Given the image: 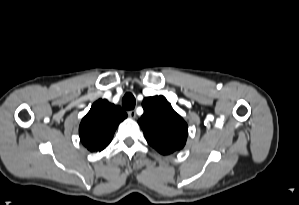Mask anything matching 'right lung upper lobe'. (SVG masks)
I'll use <instances>...</instances> for the list:
<instances>
[{
  "mask_svg": "<svg viewBox=\"0 0 299 205\" xmlns=\"http://www.w3.org/2000/svg\"><path fill=\"white\" fill-rule=\"evenodd\" d=\"M126 117L127 114L119 106L99 99L80 123L81 142L91 152L103 150L111 142L119 123Z\"/></svg>",
  "mask_w": 299,
  "mask_h": 205,
  "instance_id": "1",
  "label": "right lung upper lobe"
}]
</instances>
